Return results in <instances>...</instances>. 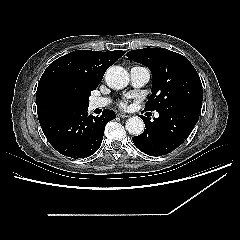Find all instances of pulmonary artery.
Wrapping results in <instances>:
<instances>
[{
    "instance_id": "1",
    "label": "pulmonary artery",
    "mask_w": 240,
    "mask_h": 240,
    "mask_svg": "<svg viewBox=\"0 0 240 240\" xmlns=\"http://www.w3.org/2000/svg\"><path fill=\"white\" fill-rule=\"evenodd\" d=\"M150 79V72L146 67L134 66L130 70V81L133 87L140 88L148 83ZM110 103L109 98H95L92 100L91 105L93 108L105 107ZM159 114L155 113V117Z\"/></svg>"
}]
</instances>
